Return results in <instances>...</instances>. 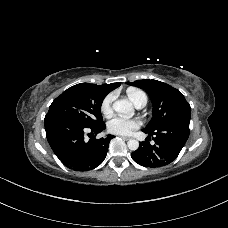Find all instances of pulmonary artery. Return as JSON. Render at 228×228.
Instances as JSON below:
<instances>
[{
    "label": "pulmonary artery",
    "mask_w": 228,
    "mask_h": 228,
    "mask_svg": "<svg viewBox=\"0 0 228 228\" xmlns=\"http://www.w3.org/2000/svg\"><path fill=\"white\" fill-rule=\"evenodd\" d=\"M147 103V98L146 97H140L134 104L136 108L140 109L143 108Z\"/></svg>",
    "instance_id": "obj_1"
}]
</instances>
